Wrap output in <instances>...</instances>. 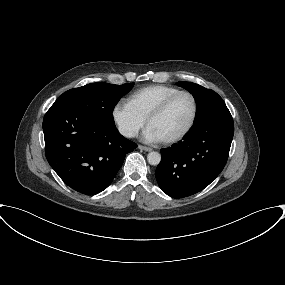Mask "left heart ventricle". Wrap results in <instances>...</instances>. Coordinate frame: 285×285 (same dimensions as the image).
Masks as SVG:
<instances>
[{
	"label": "left heart ventricle",
	"instance_id": "obj_1",
	"mask_svg": "<svg viewBox=\"0 0 285 285\" xmlns=\"http://www.w3.org/2000/svg\"><path fill=\"white\" fill-rule=\"evenodd\" d=\"M193 103L189 96H179L158 118L151 121L149 128L159 137L166 140L181 133L192 117Z\"/></svg>",
	"mask_w": 285,
	"mask_h": 285
}]
</instances>
